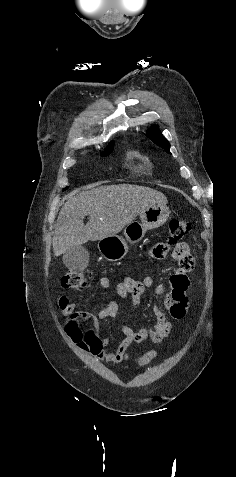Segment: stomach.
<instances>
[{
    "instance_id": "0dacf381",
    "label": "stomach",
    "mask_w": 236,
    "mask_h": 477,
    "mask_svg": "<svg viewBox=\"0 0 236 477\" xmlns=\"http://www.w3.org/2000/svg\"><path fill=\"white\" fill-rule=\"evenodd\" d=\"M169 208L166 205H151L140 213V221H133L124 230L125 238L117 235L109 236L98 242L101 255L109 261H118L128 252L127 243L141 241L150 229L162 226L169 217Z\"/></svg>"
}]
</instances>
